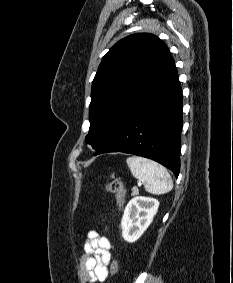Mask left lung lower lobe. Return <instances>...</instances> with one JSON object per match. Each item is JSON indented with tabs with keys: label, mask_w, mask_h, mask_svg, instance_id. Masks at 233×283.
<instances>
[{
	"label": "left lung lower lobe",
	"mask_w": 233,
	"mask_h": 283,
	"mask_svg": "<svg viewBox=\"0 0 233 283\" xmlns=\"http://www.w3.org/2000/svg\"><path fill=\"white\" fill-rule=\"evenodd\" d=\"M182 90L169 56L153 73L137 101L95 155L125 152L155 160L176 177L180 170Z\"/></svg>",
	"instance_id": "obj_1"
}]
</instances>
